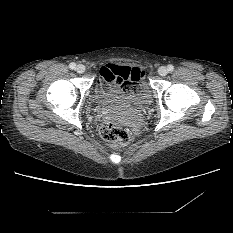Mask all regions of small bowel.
Listing matches in <instances>:
<instances>
[{
  "label": "small bowel",
  "instance_id": "c3829d8e",
  "mask_svg": "<svg viewBox=\"0 0 233 233\" xmlns=\"http://www.w3.org/2000/svg\"><path fill=\"white\" fill-rule=\"evenodd\" d=\"M120 68H127L131 71V74H135L133 72V68H131V67L117 65V64H113V63H107L100 70L101 78L98 79V85L103 84V83H107V82H114L115 80L113 77L115 75V72H116V70H118ZM137 77L140 78V74H138ZM99 92H100V90H99Z\"/></svg>",
  "mask_w": 233,
  "mask_h": 233
}]
</instances>
